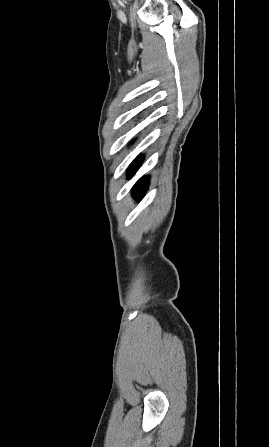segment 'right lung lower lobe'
Segmentation results:
<instances>
[{
    "instance_id": "right-lung-lower-lobe-1",
    "label": "right lung lower lobe",
    "mask_w": 269,
    "mask_h": 447,
    "mask_svg": "<svg viewBox=\"0 0 269 447\" xmlns=\"http://www.w3.org/2000/svg\"><path fill=\"white\" fill-rule=\"evenodd\" d=\"M143 158L139 157L137 158L129 167L128 173L129 177H131L135 171L139 168V166L142 163ZM148 187V180H145V178H141L133 187L132 194L135 196L136 199L140 200L145 193L146 189Z\"/></svg>"
}]
</instances>
